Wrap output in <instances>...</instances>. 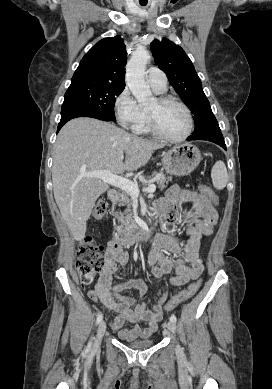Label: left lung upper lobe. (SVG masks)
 Instances as JSON below:
<instances>
[{
    "instance_id": "1",
    "label": "left lung upper lobe",
    "mask_w": 272,
    "mask_h": 389,
    "mask_svg": "<svg viewBox=\"0 0 272 389\" xmlns=\"http://www.w3.org/2000/svg\"><path fill=\"white\" fill-rule=\"evenodd\" d=\"M150 47L155 63L165 72L170 84L194 114L195 129L192 134L216 122L200 78L184 50L166 38L153 40Z\"/></svg>"
}]
</instances>
